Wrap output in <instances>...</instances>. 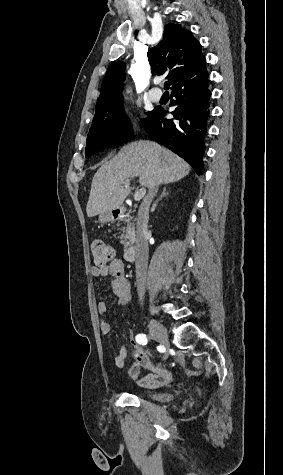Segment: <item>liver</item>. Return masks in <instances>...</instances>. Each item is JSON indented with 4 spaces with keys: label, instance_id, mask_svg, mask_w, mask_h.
<instances>
[{
    "label": "liver",
    "instance_id": "6515ba94",
    "mask_svg": "<svg viewBox=\"0 0 283 475\" xmlns=\"http://www.w3.org/2000/svg\"><path fill=\"white\" fill-rule=\"evenodd\" d=\"M190 172V166L156 142L139 140L123 146L117 156L97 170L91 184L86 208L88 218L118 210L131 190L121 188L125 180L139 176L141 186H159L178 182Z\"/></svg>",
    "mask_w": 283,
    "mask_h": 475
}]
</instances>
